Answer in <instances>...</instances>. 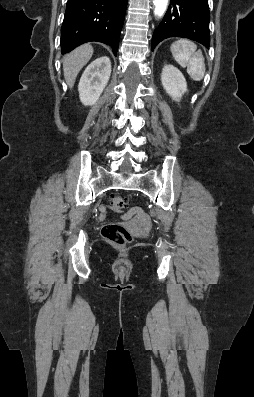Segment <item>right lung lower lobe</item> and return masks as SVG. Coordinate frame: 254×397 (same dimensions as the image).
Wrapping results in <instances>:
<instances>
[{"instance_id": "1", "label": "right lung lower lobe", "mask_w": 254, "mask_h": 397, "mask_svg": "<svg viewBox=\"0 0 254 397\" xmlns=\"http://www.w3.org/2000/svg\"><path fill=\"white\" fill-rule=\"evenodd\" d=\"M128 0H68L61 28V53L90 41L112 46L116 56Z\"/></svg>"}]
</instances>
